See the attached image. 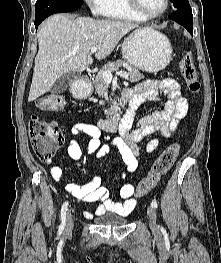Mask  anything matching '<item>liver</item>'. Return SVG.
Here are the masks:
<instances>
[{"label": "liver", "mask_w": 221, "mask_h": 263, "mask_svg": "<svg viewBox=\"0 0 221 263\" xmlns=\"http://www.w3.org/2000/svg\"><path fill=\"white\" fill-rule=\"evenodd\" d=\"M150 31L133 23L90 17L51 16L37 33L38 53L28 101L44 95L70 71L82 72L93 63L90 49L97 47L98 60L109 56L120 39L131 30Z\"/></svg>", "instance_id": "liver-1"}]
</instances>
